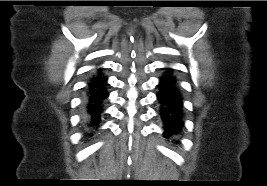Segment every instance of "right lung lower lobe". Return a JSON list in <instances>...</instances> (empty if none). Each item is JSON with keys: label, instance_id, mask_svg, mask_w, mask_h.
Wrapping results in <instances>:
<instances>
[{"label": "right lung lower lobe", "instance_id": "1", "mask_svg": "<svg viewBox=\"0 0 267 186\" xmlns=\"http://www.w3.org/2000/svg\"><path fill=\"white\" fill-rule=\"evenodd\" d=\"M107 78L99 69L88 81L83 97V117L87 126L95 129L104 112V102L108 97Z\"/></svg>", "mask_w": 267, "mask_h": 186}]
</instances>
